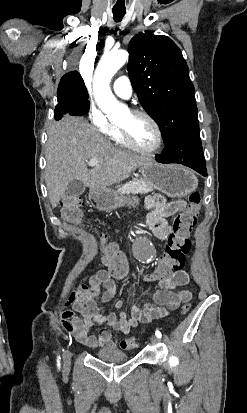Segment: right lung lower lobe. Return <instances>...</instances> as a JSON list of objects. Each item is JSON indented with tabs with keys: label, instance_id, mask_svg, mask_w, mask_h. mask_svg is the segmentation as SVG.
I'll return each instance as SVG.
<instances>
[{
	"label": "right lung lower lobe",
	"instance_id": "1",
	"mask_svg": "<svg viewBox=\"0 0 247 413\" xmlns=\"http://www.w3.org/2000/svg\"><path fill=\"white\" fill-rule=\"evenodd\" d=\"M66 114L72 116H82L81 110L72 103L67 101H58L54 112V118L56 120H60Z\"/></svg>",
	"mask_w": 247,
	"mask_h": 413
}]
</instances>
